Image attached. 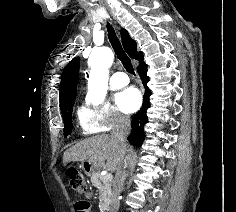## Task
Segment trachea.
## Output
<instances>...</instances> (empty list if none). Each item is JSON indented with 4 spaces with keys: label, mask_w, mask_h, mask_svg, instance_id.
I'll list each match as a JSON object with an SVG mask.
<instances>
[{
    "label": "trachea",
    "mask_w": 236,
    "mask_h": 212,
    "mask_svg": "<svg viewBox=\"0 0 236 212\" xmlns=\"http://www.w3.org/2000/svg\"><path fill=\"white\" fill-rule=\"evenodd\" d=\"M107 30L109 41L115 51L117 58L121 61L126 71L134 75L135 72L131 60L122 48L114 28L109 23H107Z\"/></svg>",
    "instance_id": "3493384b"
}]
</instances>
